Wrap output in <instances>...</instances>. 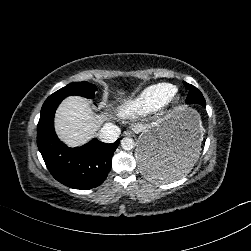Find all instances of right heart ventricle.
<instances>
[{
  "instance_id": "1",
  "label": "right heart ventricle",
  "mask_w": 251,
  "mask_h": 251,
  "mask_svg": "<svg viewBox=\"0 0 251 251\" xmlns=\"http://www.w3.org/2000/svg\"><path fill=\"white\" fill-rule=\"evenodd\" d=\"M173 89V84L162 82L150 85L141 90L132 100L121 109L123 117H133L155 111L162 103L165 96Z\"/></svg>"
}]
</instances>
